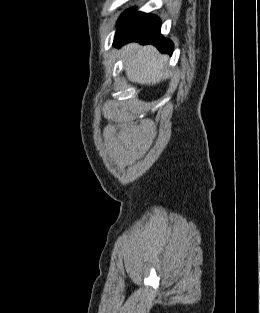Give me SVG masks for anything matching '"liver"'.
Wrapping results in <instances>:
<instances>
[{
  "instance_id": "6515ba94",
  "label": "liver",
  "mask_w": 260,
  "mask_h": 313,
  "mask_svg": "<svg viewBox=\"0 0 260 313\" xmlns=\"http://www.w3.org/2000/svg\"><path fill=\"white\" fill-rule=\"evenodd\" d=\"M128 79L141 85H155L169 77L167 55H161L153 46L132 43L121 49Z\"/></svg>"
}]
</instances>
